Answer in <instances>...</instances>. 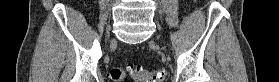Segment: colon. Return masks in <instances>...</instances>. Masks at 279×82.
Segmentation results:
<instances>
[{
    "label": "colon",
    "instance_id": "5ec220e1",
    "mask_svg": "<svg viewBox=\"0 0 279 82\" xmlns=\"http://www.w3.org/2000/svg\"><path fill=\"white\" fill-rule=\"evenodd\" d=\"M130 74L138 82H162L164 79L165 71L157 69L149 71L141 67H130L125 69L123 67H115L111 70V78L114 82H124L128 79Z\"/></svg>",
    "mask_w": 279,
    "mask_h": 82
}]
</instances>
